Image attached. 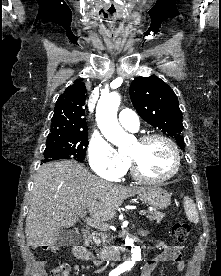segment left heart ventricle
I'll use <instances>...</instances> for the list:
<instances>
[{
  "mask_svg": "<svg viewBox=\"0 0 221 276\" xmlns=\"http://www.w3.org/2000/svg\"><path fill=\"white\" fill-rule=\"evenodd\" d=\"M141 170L150 177H162L174 168L171 148L162 140L155 139L146 143L135 142L129 152Z\"/></svg>",
  "mask_w": 221,
  "mask_h": 276,
  "instance_id": "1",
  "label": "left heart ventricle"
}]
</instances>
